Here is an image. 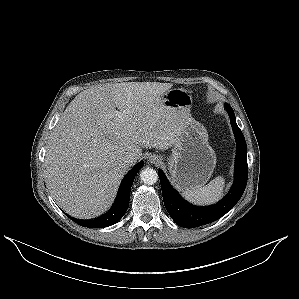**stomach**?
<instances>
[{
    "mask_svg": "<svg viewBox=\"0 0 299 299\" xmlns=\"http://www.w3.org/2000/svg\"><path fill=\"white\" fill-rule=\"evenodd\" d=\"M163 99L182 120L179 140L168 161L172 182L182 191L202 187L214 171L216 155L209 145L206 128L191 117L192 94L175 88L166 91Z\"/></svg>",
    "mask_w": 299,
    "mask_h": 299,
    "instance_id": "stomach-1",
    "label": "stomach"
}]
</instances>
